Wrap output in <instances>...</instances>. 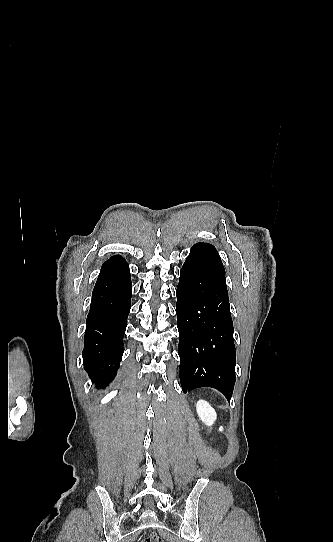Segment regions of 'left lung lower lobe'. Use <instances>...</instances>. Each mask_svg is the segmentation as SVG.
Here are the masks:
<instances>
[{"instance_id": "0a47b994", "label": "left lung lower lobe", "mask_w": 333, "mask_h": 542, "mask_svg": "<svg viewBox=\"0 0 333 542\" xmlns=\"http://www.w3.org/2000/svg\"><path fill=\"white\" fill-rule=\"evenodd\" d=\"M176 295L183 392L212 387L230 400L235 384L234 328L224 266L213 245H193Z\"/></svg>"}]
</instances>
